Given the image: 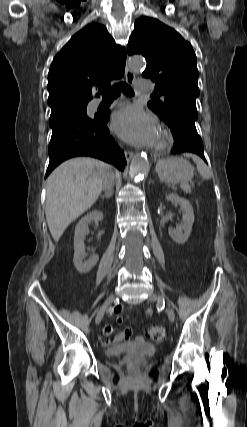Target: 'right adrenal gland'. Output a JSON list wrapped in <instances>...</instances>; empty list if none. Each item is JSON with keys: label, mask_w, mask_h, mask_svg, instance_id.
Instances as JSON below:
<instances>
[{"label": "right adrenal gland", "mask_w": 247, "mask_h": 427, "mask_svg": "<svg viewBox=\"0 0 247 427\" xmlns=\"http://www.w3.org/2000/svg\"><path fill=\"white\" fill-rule=\"evenodd\" d=\"M112 196V192H110V193H105L104 195H102L101 196V198L102 199H105V198H110Z\"/></svg>", "instance_id": "1"}]
</instances>
